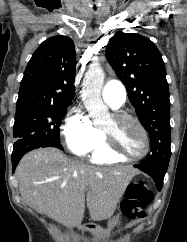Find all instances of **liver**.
I'll use <instances>...</instances> for the list:
<instances>
[{
  "label": "liver",
  "instance_id": "6515ba94",
  "mask_svg": "<svg viewBox=\"0 0 187 242\" xmlns=\"http://www.w3.org/2000/svg\"><path fill=\"white\" fill-rule=\"evenodd\" d=\"M138 171L128 166L97 168L54 148L26 154L16 169L22 199L39 213L79 227L86 203L93 221L110 218Z\"/></svg>",
  "mask_w": 187,
  "mask_h": 242
}]
</instances>
